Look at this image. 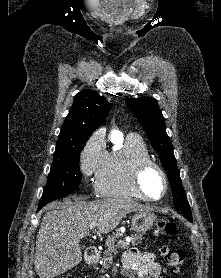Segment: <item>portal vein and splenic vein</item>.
I'll return each mask as SVG.
<instances>
[{
    "label": "portal vein and splenic vein",
    "instance_id": "1",
    "mask_svg": "<svg viewBox=\"0 0 221 278\" xmlns=\"http://www.w3.org/2000/svg\"><path fill=\"white\" fill-rule=\"evenodd\" d=\"M96 226H97V222H92V223L90 224V230L95 229ZM120 243H121V244H125V243H127V242H125V241L123 240V241H120Z\"/></svg>",
    "mask_w": 221,
    "mask_h": 278
}]
</instances>
